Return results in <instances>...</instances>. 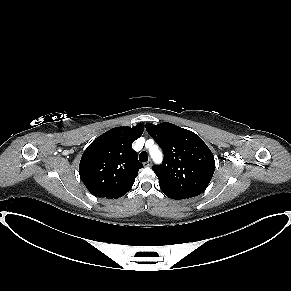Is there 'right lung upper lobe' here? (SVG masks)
Here are the masks:
<instances>
[{
  "label": "right lung upper lobe",
  "instance_id": "right-lung-upper-lobe-1",
  "mask_svg": "<svg viewBox=\"0 0 291 291\" xmlns=\"http://www.w3.org/2000/svg\"><path fill=\"white\" fill-rule=\"evenodd\" d=\"M143 131V123L132 128L116 127L86 148L80 160L79 174L91 194L115 199L132 188L138 170L143 167L132 143Z\"/></svg>",
  "mask_w": 291,
  "mask_h": 291
}]
</instances>
